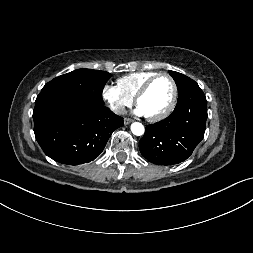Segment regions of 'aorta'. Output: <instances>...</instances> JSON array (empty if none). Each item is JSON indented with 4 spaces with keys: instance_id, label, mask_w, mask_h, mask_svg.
<instances>
[{
    "instance_id": "762f6f07",
    "label": "aorta",
    "mask_w": 253,
    "mask_h": 253,
    "mask_svg": "<svg viewBox=\"0 0 253 253\" xmlns=\"http://www.w3.org/2000/svg\"><path fill=\"white\" fill-rule=\"evenodd\" d=\"M144 126L139 122H134L131 124V131L136 136H141L144 134Z\"/></svg>"
}]
</instances>
